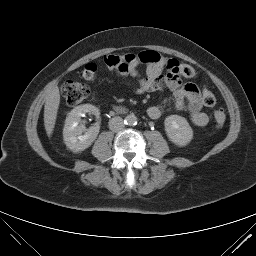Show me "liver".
<instances>
[{
  "label": "liver",
  "mask_w": 256,
  "mask_h": 256,
  "mask_svg": "<svg viewBox=\"0 0 256 256\" xmlns=\"http://www.w3.org/2000/svg\"><path fill=\"white\" fill-rule=\"evenodd\" d=\"M59 104V88L55 86L49 92L44 106V126L48 137H50L53 133Z\"/></svg>",
  "instance_id": "6515ba94"
}]
</instances>
